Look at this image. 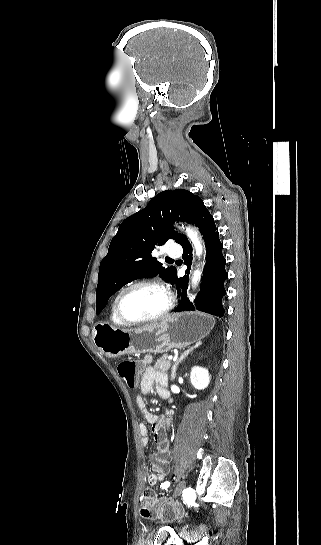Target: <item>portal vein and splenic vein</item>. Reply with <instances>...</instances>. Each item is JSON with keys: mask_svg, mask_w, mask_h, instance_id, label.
<instances>
[{"mask_svg": "<svg viewBox=\"0 0 321 545\" xmlns=\"http://www.w3.org/2000/svg\"><path fill=\"white\" fill-rule=\"evenodd\" d=\"M169 360H172V355H168Z\"/></svg>", "mask_w": 321, "mask_h": 545, "instance_id": "portal-vein-and-splenic-vein-1", "label": "portal vein and splenic vein"}]
</instances>
